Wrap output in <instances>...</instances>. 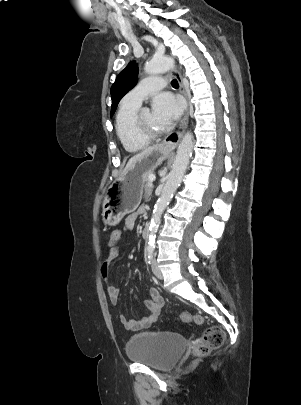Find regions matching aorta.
Returning a JSON list of instances; mask_svg holds the SVG:
<instances>
[{
    "label": "aorta",
    "instance_id": "aorta-1",
    "mask_svg": "<svg viewBox=\"0 0 301 405\" xmlns=\"http://www.w3.org/2000/svg\"><path fill=\"white\" fill-rule=\"evenodd\" d=\"M173 66L174 60L169 57L153 58L146 63L145 71L149 74L164 73L170 70ZM192 149L193 134L191 132H187L183 136L178 146L172 170L170 171L161 195L154 206L149 226L148 246L150 248L154 246L156 232L158 231L162 213L172 199L173 194L180 185L186 172L192 154Z\"/></svg>",
    "mask_w": 301,
    "mask_h": 405
}]
</instances>
